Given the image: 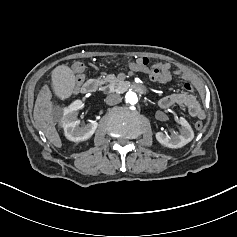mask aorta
<instances>
[{"label":"aorta","instance_id":"obj_1","mask_svg":"<svg viewBox=\"0 0 237 237\" xmlns=\"http://www.w3.org/2000/svg\"><path fill=\"white\" fill-rule=\"evenodd\" d=\"M125 100L127 104L135 105L138 101V97L134 92L129 91L125 96Z\"/></svg>","mask_w":237,"mask_h":237}]
</instances>
